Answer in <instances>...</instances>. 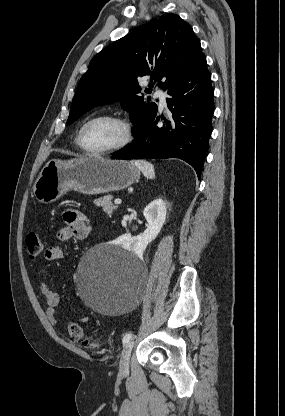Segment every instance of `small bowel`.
<instances>
[{"mask_svg":"<svg viewBox=\"0 0 285 416\" xmlns=\"http://www.w3.org/2000/svg\"><path fill=\"white\" fill-rule=\"evenodd\" d=\"M63 221L65 226L57 232V239L60 242L68 241L70 239L83 240L88 237L91 231V225L88 217L74 209H68L63 213ZM63 257V250L60 245L49 246L45 251V258L48 260H58ZM40 292L45 298L47 308L46 317L48 322L56 326L58 323L57 307L60 305L61 299L57 292H55L47 283H41ZM88 321L87 317H82L78 320L80 323Z\"/></svg>","mask_w":285,"mask_h":416,"instance_id":"small-bowel-1","label":"small bowel"}]
</instances>
